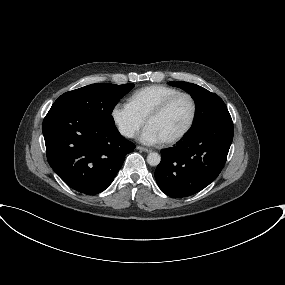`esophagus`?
Here are the masks:
<instances>
[{"label":"esophagus","mask_w":285,"mask_h":285,"mask_svg":"<svg viewBox=\"0 0 285 285\" xmlns=\"http://www.w3.org/2000/svg\"><path fill=\"white\" fill-rule=\"evenodd\" d=\"M137 149L140 150V151L146 152V153H149V152L152 151L151 149H148V148H145V147H142V146H137Z\"/></svg>","instance_id":"obj_1"}]
</instances>
